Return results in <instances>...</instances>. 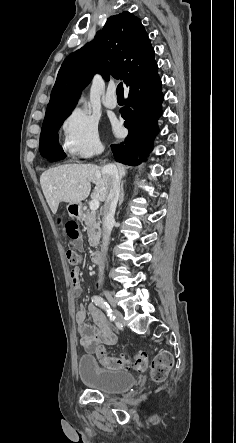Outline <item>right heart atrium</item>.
Masks as SVG:
<instances>
[{
  "label": "right heart atrium",
  "instance_id": "obj_1",
  "mask_svg": "<svg viewBox=\"0 0 236 443\" xmlns=\"http://www.w3.org/2000/svg\"><path fill=\"white\" fill-rule=\"evenodd\" d=\"M62 131L64 151L71 158L88 159L103 148L97 121L81 109L66 116Z\"/></svg>",
  "mask_w": 236,
  "mask_h": 443
}]
</instances>
